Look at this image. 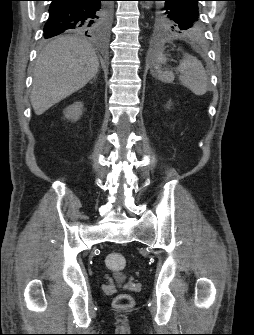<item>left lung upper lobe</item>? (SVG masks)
Wrapping results in <instances>:
<instances>
[{
    "mask_svg": "<svg viewBox=\"0 0 254 335\" xmlns=\"http://www.w3.org/2000/svg\"><path fill=\"white\" fill-rule=\"evenodd\" d=\"M152 21L156 30L169 33L198 32L202 21L198 7L200 0H151Z\"/></svg>",
    "mask_w": 254,
    "mask_h": 335,
    "instance_id": "1",
    "label": "left lung upper lobe"
}]
</instances>
